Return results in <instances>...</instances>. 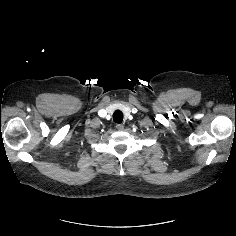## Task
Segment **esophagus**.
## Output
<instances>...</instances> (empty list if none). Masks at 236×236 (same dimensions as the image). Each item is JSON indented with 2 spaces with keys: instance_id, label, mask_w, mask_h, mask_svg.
Listing matches in <instances>:
<instances>
[{
  "instance_id": "1",
  "label": "esophagus",
  "mask_w": 236,
  "mask_h": 236,
  "mask_svg": "<svg viewBox=\"0 0 236 236\" xmlns=\"http://www.w3.org/2000/svg\"><path fill=\"white\" fill-rule=\"evenodd\" d=\"M116 129H117L118 131H122V130L124 129V125H123V124H117V125H116Z\"/></svg>"
}]
</instances>
